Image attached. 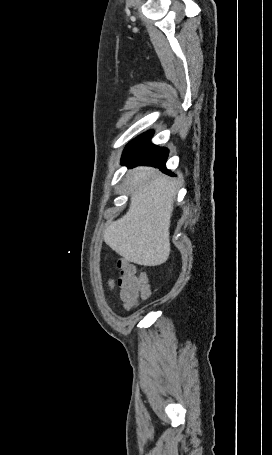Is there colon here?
<instances>
[{
    "label": "colon",
    "mask_w": 272,
    "mask_h": 455,
    "mask_svg": "<svg viewBox=\"0 0 272 455\" xmlns=\"http://www.w3.org/2000/svg\"><path fill=\"white\" fill-rule=\"evenodd\" d=\"M120 275L117 285L120 288L121 299L126 307L135 305L139 299H145L149 296L150 290L147 284L146 276L139 273L136 267L129 263H119ZM113 286V282H110Z\"/></svg>",
    "instance_id": "1"
}]
</instances>
